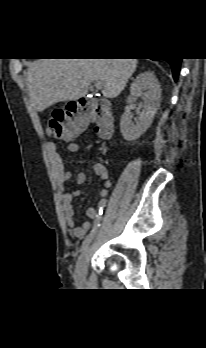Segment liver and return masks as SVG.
I'll return each instance as SVG.
<instances>
[{"mask_svg":"<svg viewBox=\"0 0 206 348\" xmlns=\"http://www.w3.org/2000/svg\"><path fill=\"white\" fill-rule=\"evenodd\" d=\"M137 59H39L27 73L34 108L42 112L55 103L84 97L90 84L101 81L102 94L115 98L137 68Z\"/></svg>","mask_w":206,"mask_h":348,"instance_id":"1","label":"liver"}]
</instances>
